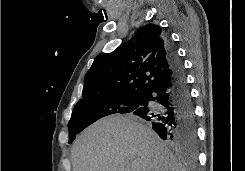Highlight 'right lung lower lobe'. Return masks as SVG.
Masks as SVG:
<instances>
[{"label": "right lung lower lobe", "instance_id": "right-lung-lower-lobe-1", "mask_svg": "<svg viewBox=\"0 0 245 171\" xmlns=\"http://www.w3.org/2000/svg\"><path fill=\"white\" fill-rule=\"evenodd\" d=\"M166 48L170 75L143 92L141 106L131 114L148 121L163 140L195 151L196 120L185 71L168 39Z\"/></svg>", "mask_w": 245, "mask_h": 171}]
</instances>
